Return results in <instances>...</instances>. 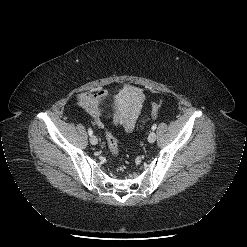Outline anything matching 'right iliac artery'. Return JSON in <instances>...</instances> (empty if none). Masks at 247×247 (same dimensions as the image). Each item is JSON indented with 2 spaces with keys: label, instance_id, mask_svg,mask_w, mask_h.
I'll return each instance as SVG.
<instances>
[{
  "label": "right iliac artery",
  "instance_id": "obj_1",
  "mask_svg": "<svg viewBox=\"0 0 247 247\" xmlns=\"http://www.w3.org/2000/svg\"><path fill=\"white\" fill-rule=\"evenodd\" d=\"M88 134H89L90 136H92L93 131H92V129H91V128H89V129H88Z\"/></svg>",
  "mask_w": 247,
  "mask_h": 247
}]
</instances>
